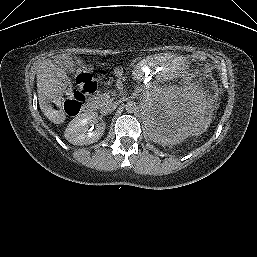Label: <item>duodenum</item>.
<instances>
[{"instance_id":"obj_1","label":"duodenum","mask_w":257,"mask_h":257,"mask_svg":"<svg viewBox=\"0 0 257 257\" xmlns=\"http://www.w3.org/2000/svg\"><path fill=\"white\" fill-rule=\"evenodd\" d=\"M83 111L86 114H92L95 111V106L92 102H87L83 106Z\"/></svg>"}]
</instances>
